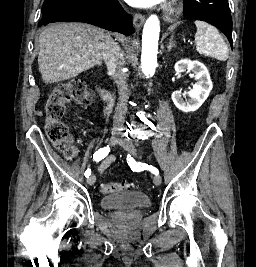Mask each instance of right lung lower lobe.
Returning <instances> with one entry per match:
<instances>
[{
	"label": "right lung lower lobe",
	"mask_w": 256,
	"mask_h": 267,
	"mask_svg": "<svg viewBox=\"0 0 256 267\" xmlns=\"http://www.w3.org/2000/svg\"><path fill=\"white\" fill-rule=\"evenodd\" d=\"M53 22H84L110 31L131 35L132 16L117 0H90L77 6L59 4L42 11L39 26Z\"/></svg>",
	"instance_id": "right-lung-lower-lobe-1"
}]
</instances>
